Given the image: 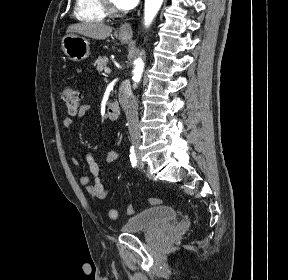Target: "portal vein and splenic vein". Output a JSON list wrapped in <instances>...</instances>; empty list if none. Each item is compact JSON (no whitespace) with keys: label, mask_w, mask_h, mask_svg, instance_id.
<instances>
[{"label":"portal vein and splenic vein","mask_w":288,"mask_h":280,"mask_svg":"<svg viewBox=\"0 0 288 280\" xmlns=\"http://www.w3.org/2000/svg\"><path fill=\"white\" fill-rule=\"evenodd\" d=\"M104 72H105L106 74H109V73H110V69H109V68H105V69H104Z\"/></svg>","instance_id":"1"}]
</instances>
